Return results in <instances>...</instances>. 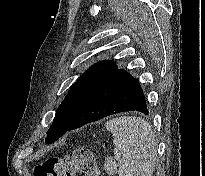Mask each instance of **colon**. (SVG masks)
<instances>
[{
    "instance_id": "5ec220e1",
    "label": "colon",
    "mask_w": 205,
    "mask_h": 176,
    "mask_svg": "<svg viewBox=\"0 0 205 176\" xmlns=\"http://www.w3.org/2000/svg\"><path fill=\"white\" fill-rule=\"evenodd\" d=\"M33 173L34 176H102L94 154L86 148L38 164Z\"/></svg>"
}]
</instances>
